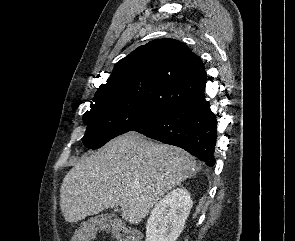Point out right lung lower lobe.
Wrapping results in <instances>:
<instances>
[{
    "mask_svg": "<svg viewBox=\"0 0 295 241\" xmlns=\"http://www.w3.org/2000/svg\"><path fill=\"white\" fill-rule=\"evenodd\" d=\"M216 128V116L203 94L166 108L158 117L134 131L163 143L179 146L206 165L213 166Z\"/></svg>",
    "mask_w": 295,
    "mask_h": 241,
    "instance_id": "right-lung-lower-lobe-1",
    "label": "right lung lower lobe"
}]
</instances>
